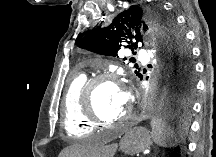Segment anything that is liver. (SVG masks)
<instances>
[{
    "label": "liver",
    "instance_id": "liver-1",
    "mask_svg": "<svg viewBox=\"0 0 216 157\" xmlns=\"http://www.w3.org/2000/svg\"><path fill=\"white\" fill-rule=\"evenodd\" d=\"M109 147L94 146L88 142L73 144L64 149L59 157H105L108 155Z\"/></svg>",
    "mask_w": 216,
    "mask_h": 157
}]
</instances>
